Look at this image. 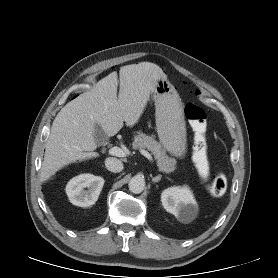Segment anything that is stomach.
Wrapping results in <instances>:
<instances>
[{
	"label": "stomach",
	"mask_w": 278,
	"mask_h": 278,
	"mask_svg": "<svg viewBox=\"0 0 278 278\" xmlns=\"http://www.w3.org/2000/svg\"><path fill=\"white\" fill-rule=\"evenodd\" d=\"M156 128L165 150L182 158L187 152V132L181 99L166 77H158L153 90Z\"/></svg>",
	"instance_id": "0dacf381"
}]
</instances>
